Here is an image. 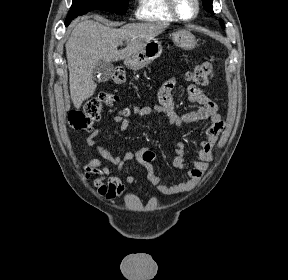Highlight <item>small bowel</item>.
<instances>
[{
    "label": "small bowel",
    "instance_id": "small-bowel-1",
    "mask_svg": "<svg viewBox=\"0 0 288 280\" xmlns=\"http://www.w3.org/2000/svg\"><path fill=\"white\" fill-rule=\"evenodd\" d=\"M176 80L171 78L164 83L158 91V104L153 107H142L136 112L137 116L144 117L148 115H164L170 124L182 127L191 123L209 121V125L204 131V140L200 143L197 151L190 150L185 143L180 142L175 147V158L172 166L178 169H184L188 162L187 156L190 154L189 163L191 167L187 170L188 178L174 184H166L164 179L156 175L153 171V163L156 161L154 153L147 147L139 150L129 151L124 156H119L107 150L101 145L97 138L102 129L94 130L87 139V145L94 147L96 152L107 161L115 164L122 175V178L111 175L110 169L101 163L98 159H91L84 167L86 178L95 175L93 185L97 193L108 201L121 197L125 190L126 184L134 182L133 176L124 171L126 162L134 160L140 163L147 171V179L157 191L164 195H175L192 190L200 182L202 176L209 167L213 159V149L221 134L225 124L218 113L217 105L196 85L188 87V98L191 102L199 104L196 110L179 114L174 105L172 91L175 87ZM119 123L120 131H126L131 120L115 117L113 120Z\"/></svg>",
    "mask_w": 288,
    "mask_h": 280
}]
</instances>
